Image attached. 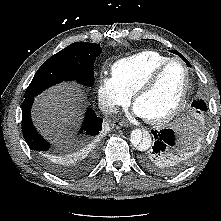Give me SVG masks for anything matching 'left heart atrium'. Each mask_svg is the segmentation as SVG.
I'll use <instances>...</instances> for the list:
<instances>
[{"instance_id": "1", "label": "left heart atrium", "mask_w": 221, "mask_h": 221, "mask_svg": "<svg viewBox=\"0 0 221 221\" xmlns=\"http://www.w3.org/2000/svg\"><path fill=\"white\" fill-rule=\"evenodd\" d=\"M133 114L137 117H145L143 112L136 105L133 108Z\"/></svg>"}]
</instances>
